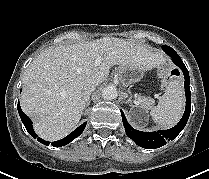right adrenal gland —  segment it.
I'll list each match as a JSON object with an SVG mask.
<instances>
[{
	"label": "right adrenal gland",
	"instance_id": "2a0ac1e0",
	"mask_svg": "<svg viewBox=\"0 0 209 179\" xmlns=\"http://www.w3.org/2000/svg\"><path fill=\"white\" fill-rule=\"evenodd\" d=\"M89 104H90V96H89L88 99H87V102H86V104H85V108H84V109H86V107H88Z\"/></svg>",
	"mask_w": 209,
	"mask_h": 179
}]
</instances>
